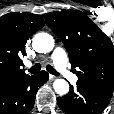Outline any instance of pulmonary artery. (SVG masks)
<instances>
[{"mask_svg":"<svg viewBox=\"0 0 114 114\" xmlns=\"http://www.w3.org/2000/svg\"><path fill=\"white\" fill-rule=\"evenodd\" d=\"M51 60L53 61L56 69L69 81L76 82L77 77L72 74L67 65V54L64 49L58 47L54 50L51 55ZM31 64L29 63L28 66Z\"/></svg>","mask_w":114,"mask_h":114,"instance_id":"e3ab8cb5","label":"pulmonary artery"}]
</instances>
